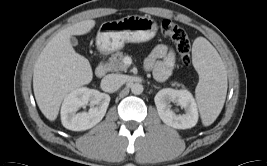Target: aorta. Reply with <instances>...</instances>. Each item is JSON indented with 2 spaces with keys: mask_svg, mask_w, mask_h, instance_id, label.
I'll use <instances>...</instances> for the list:
<instances>
[{
  "mask_svg": "<svg viewBox=\"0 0 267 166\" xmlns=\"http://www.w3.org/2000/svg\"><path fill=\"white\" fill-rule=\"evenodd\" d=\"M131 92L135 95H140L143 92V86L140 83H134L131 86Z\"/></svg>",
  "mask_w": 267,
  "mask_h": 166,
  "instance_id": "762f6f07",
  "label": "aorta"
}]
</instances>
